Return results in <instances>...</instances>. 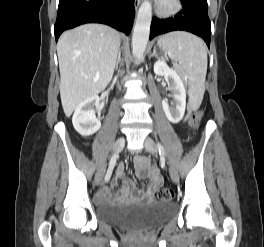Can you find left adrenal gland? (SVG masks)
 Masks as SVG:
<instances>
[{
    "label": "left adrenal gland",
    "mask_w": 264,
    "mask_h": 247,
    "mask_svg": "<svg viewBox=\"0 0 264 247\" xmlns=\"http://www.w3.org/2000/svg\"><path fill=\"white\" fill-rule=\"evenodd\" d=\"M153 56L158 57V55L156 53V48L155 47H154L153 53L150 55V57H153Z\"/></svg>",
    "instance_id": "obj_1"
}]
</instances>
